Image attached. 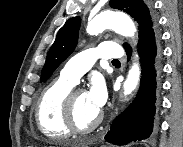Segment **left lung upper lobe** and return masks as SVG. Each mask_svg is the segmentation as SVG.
Returning <instances> with one entry per match:
<instances>
[{
  "label": "left lung upper lobe",
  "instance_id": "5c2ea615",
  "mask_svg": "<svg viewBox=\"0 0 183 147\" xmlns=\"http://www.w3.org/2000/svg\"><path fill=\"white\" fill-rule=\"evenodd\" d=\"M114 9L128 13L139 24V39L153 30L156 21L143 0H110ZM81 19L79 16L70 18L59 30L55 42L51 46L41 73V82H45L56 68L73 52L77 45ZM129 47L124 43V48Z\"/></svg>",
  "mask_w": 183,
  "mask_h": 147
}]
</instances>
